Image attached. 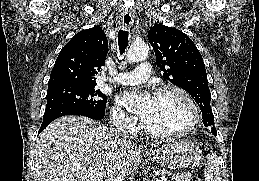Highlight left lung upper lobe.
<instances>
[{
	"mask_svg": "<svg viewBox=\"0 0 259 181\" xmlns=\"http://www.w3.org/2000/svg\"><path fill=\"white\" fill-rule=\"evenodd\" d=\"M148 39L163 76L192 96L201 109L205 127L214 126L206 69L193 41L182 31L163 24L154 25ZM212 133H217L215 127Z\"/></svg>",
	"mask_w": 259,
	"mask_h": 181,
	"instance_id": "5c2ea615",
	"label": "left lung upper lobe"
}]
</instances>
